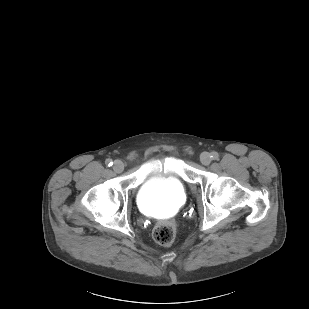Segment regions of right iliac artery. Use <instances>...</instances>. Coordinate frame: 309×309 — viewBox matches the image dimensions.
Listing matches in <instances>:
<instances>
[{
	"instance_id": "82829eb1",
	"label": "right iliac artery",
	"mask_w": 309,
	"mask_h": 309,
	"mask_svg": "<svg viewBox=\"0 0 309 309\" xmlns=\"http://www.w3.org/2000/svg\"><path fill=\"white\" fill-rule=\"evenodd\" d=\"M105 163H106V165L109 166V167L113 165V162H112L111 159H107V160L105 161Z\"/></svg>"
}]
</instances>
